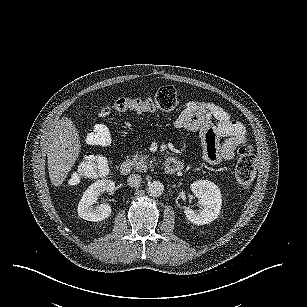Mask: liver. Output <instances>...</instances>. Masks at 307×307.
<instances>
[{
    "label": "liver",
    "instance_id": "1",
    "mask_svg": "<svg viewBox=\"0 0 307 307\" xmlns=\"http://www.w3.org/2000/svg\"><path fill=\"white\" fill-rule=\"evenodd\" d=\"M79 153V137L70 119L61 118L54 127L47 150L51 182L58 186L66 178Z\"/></svg>",
    "mask_w": 307,
    "mask_h": 307
}]
</instances>
